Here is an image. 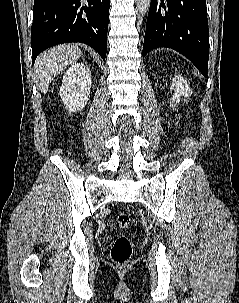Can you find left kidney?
Segmentation results:
<instances>
[{"label": "left kidney", "instance_id": "5707ae66", "mask_svg": "<svg viewBox=\"0 0 239 303\" xmlns=\"http://www.w3.org/2000/svg\"><path fill=\"white\" fill-rule=\"evenodd\" d=\"M170 89L175 91V93L172 97V101H174L176 103L180 102L181 96L189 97L192 95V91H191L188 83L180 75H177L172 79V85L170 86Z\"/></svg>", "mask_w": 239, "mask_h": 303}]
</instances>
